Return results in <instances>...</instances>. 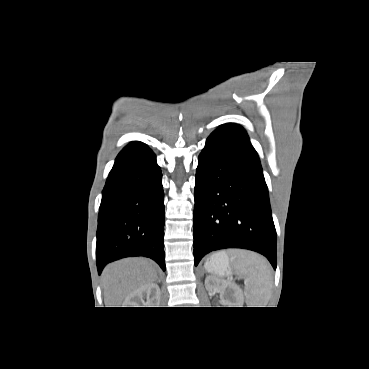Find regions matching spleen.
I'll list each match as a JSON object with an SVG mask.
<instances>
[{
  "label": "spleen",
  "instance_id": "obj_1",
  "mask_svg": "<svg viewBox=\"0 0 369 369\" xmlns=\"http://www.w3.org/2000/svg\"><path fill=\"white\" fill-rule=\"evenodd\" d=\"M236 272L246 278L245 296L249 307H265L272 288V268L268 261L253 252H229Z\"/></svg>",
  "mask_w": 369,
  "mask_h": 369
}]
</instances>
